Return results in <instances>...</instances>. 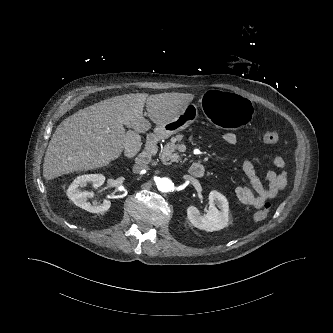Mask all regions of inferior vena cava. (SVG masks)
Returning <instances> with one entry per match:
<instances>
[{
    "instance_id": "inferior-vena-cava-1",
    "label": "inferior vena cava",
    "mask_w": 333,
    "mask_h": 333,
    "mask_svg": "<svg viewBox=\"0 0 333 333\" xmlns=\"http://www.w3.org/2000/svg\"><path fill=\"white\" fill-rule=\"evenodd\" d=\"M147 169H148V166L145 164H136L133 166L134 173H139V172L147 170Z\"/></svg>"
}]
</instances>
